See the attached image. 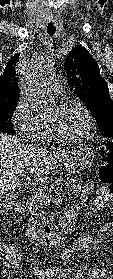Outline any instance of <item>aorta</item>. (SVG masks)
I'll return each instance as SVG.
<instances>
[{
  "mask_svg": "<svg viewBox=\"0 0 113 279\" xmlns=\"http://www.w3.org/2000/svg\"><path fill=\"white\" fill-rule=\"evenodd\" d=\"M53 66V61L51 59H46L43 63H41L40 68L42 70H49ZM22 93L26 98L32 101L33 109L37 113L44 114L49 111V101L46 97H38L36 93L29 88L23 87Z\"/></svg>",
  "mask_w": 113,
  "mask_h": 279,
  "instance_id": "1",
  "label": "aorta"
}]
</instances>
